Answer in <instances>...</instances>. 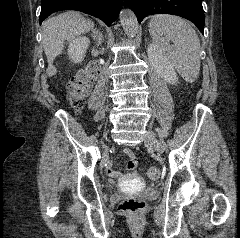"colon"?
I'll use <instances>...</instances> for the list:
<instances>
[{
	"label": "colon",
	"mask_w": 240,
	"mask_h": 238,
	"mask_svg": "<svg viewBox=\"0 0 240 238\" xmlns=\"http://www.w3.org/2000/svg\"><path fill=\"white\" fill-rule=\"evenodd\" d=\"M99 74V68L96 64H90L85 68L79 70L77 74L70 80L67 86L68 99L71 106L80 111L88 95L89 89ZM148 177L150 179H157L161 175L159 167L153 166L148 169ZM145 206V202L138 198H126L119 204V209L129 214H136L140 212Z\"/></svg>",
	"instance_id": "obj_1"
}]
</instances>
